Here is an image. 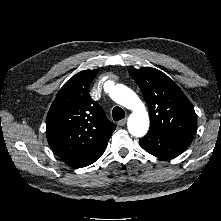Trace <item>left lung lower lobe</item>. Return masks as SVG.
Here are the masks:
<instances>
[{
	"instance_id": "left-lung-lower-lobe-1",
	"label": "left lung lower lobe",
	"mask_w": 221,
	"mask_h": 221,
	"mask_svg": "<svg viewBox=\"0 0 221 221\" xmlns=\"http://www.w3.org/2000/svg\"><path fill=\"white\" fill-rule=\"evenodd\" d=\"M192 139L187 136H166L149 131L139 140V143L148 153L159 158L170 159L184 152Z\"/></svg>"
}]
</instances>
